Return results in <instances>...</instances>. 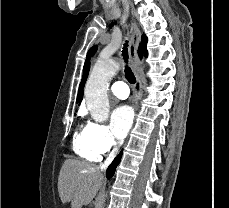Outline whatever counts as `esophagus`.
<instances>
[{"label":"esophagus","instance_id":"obj_1","mask_svg":"<svg viewBox=\"0 0 229 208\" xmlns=\"http://www.w3.org/2000/svg\"><path fill=\"white\" fill-rule=\"evenodd\" d=\"M131 40L129 45V57H130V63L131 66L134 69L135 75L138 79H140L138 68L141 66V62L138 58L137 49L139 47L140 37L141 33L138 28V26L135 23H132L131 25ZM143 96L142 91L139 92V98L141 99Z\"/></svg>","mask_w":229,"mask_h":208}]
</instances>
